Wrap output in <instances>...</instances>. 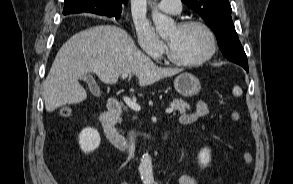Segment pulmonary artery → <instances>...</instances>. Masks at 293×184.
<instances>
[{
  "mask_svg": "<svg viewBox=\"0 0 293 184\" xmlns=\"http://www.w3.org/2000/svg\"><path fill=\"white\" fill-rule=\"evenodd\" d=\"M157 7L169 14H179L182 10L181 0H161Z\"/></svg>",
  "mask_w": 293,
  "mask_h": 184,
  "instance_id": "obj_1",
  "label": "pulmonary artery"
}]
</instances>
